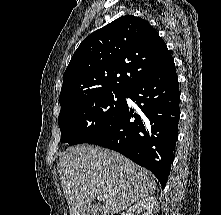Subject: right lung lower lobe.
Instances as JSON below:
<instances>
[{
	"label": "right lung lower lobe",
	"mask_w": 221,
	"mask_h": 215,
	"mask_svg": "<svg viewBox=\"0 0 221 215\" xmlns=\"http://www.w3.org/2000/svg\"><path fill=\"white\" fill-rule=\"evenodd\" d=\"M126 97L132 99L139 110L129 108L126 103L112 128L88 143L115 150L149 169L164 188L174 157L180 116L173 58L134 85Z\"/></svg>",
	"instance_id": "right-lung-lower-lobe-1"
}]
</instances>
